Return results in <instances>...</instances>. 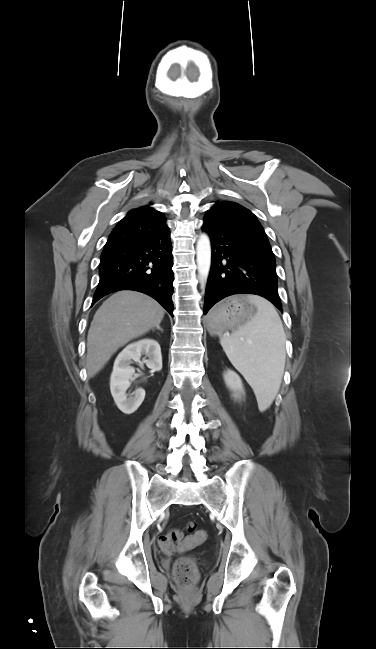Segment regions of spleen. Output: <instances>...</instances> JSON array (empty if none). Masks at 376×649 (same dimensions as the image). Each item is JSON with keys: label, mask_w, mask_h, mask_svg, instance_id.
I'll return each mask as SVG.
<instances>
[{"label": "spleen", "mask_w": 376, "mask_h": 649, "mask_svg": "<svg viewBox=\"0 0 376 649\" xmlns=\"http://www.w3.org/2000/svg\"><path fill=\"white\" fill-rule=\"evenodd\" d=\"M257 313L220 343L233 366L251 385L260 411L275 399L285 368V332L274 306L257 295H248Z\"/></svg>", "instance_id": "spleen-1"}]
</instances>
